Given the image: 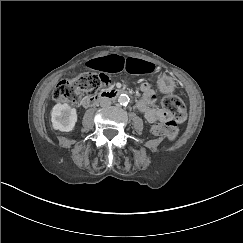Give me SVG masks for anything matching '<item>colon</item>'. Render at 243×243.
Returning <instances> with one entry per match:
<instances>
[{"instance_id":"1","label":"colon","mask_w":243,"mask_h":243,"mask_svg":"<svg viewBox=\"0 0 243 243\" xmlns=\"http://www.w3.org/2000/svg\"><path fill=\"white\" fill-rule=\"evenodd\" d=\"M109 84L110 79L105 74L86 72L74 79L59 82L53 91V98L59 103L77 104L83 93H95ZM162 105L171 118L155 124L152 131L157 136L173 140L178 133V123L185 120V105L175 95L164 96Z\"/></svg>"}]
</instances>
